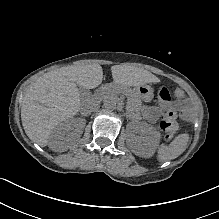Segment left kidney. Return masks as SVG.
I'll return each instance as SVG.
<instances>
[{"label":"left kidney","mask_w":219,"mask_h":219,"mask_svg":"<svg viewBox=\"0 0 219 219\" xmlns=\"http://www.w3.org/2000/svg\"><path fill=\"white\" fill-rule=\"evenodd\" d=\"M162 134L160 132H154L143 134L142 136H138L134 141L136 146L134 147V151L137 152L140 149L142 152H145L146 155L143 154L145 157H152L155 155L156 150L159 148L160 140Z\"/></svg>","instance_id":"5707ae66"}]
</instances>
